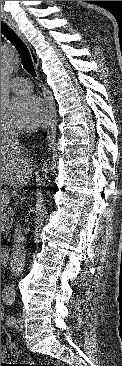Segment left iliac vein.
<instances>
[{
  "label": "left iliac vein",
  "mask_w": 122,
  "mask_h": 366,
  "mask_svg": "<svg viewBox=\"0 0 122 366\" xmlns=\"http://www.w3.org/2000/svg\"><path fill=\"white\" fill-rule=\"evenodd\" d=\"M15 328L19 331L23 330V322H22V319L20 317H18L16 319Z\"/></svg>",
  "instance_id": "obj_1"
}]
</instances>
